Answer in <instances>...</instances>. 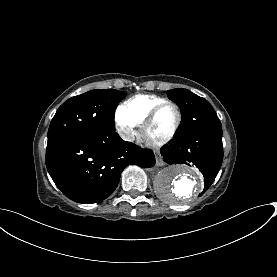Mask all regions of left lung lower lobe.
<instances>
[{
  "label": "left lung lower lobe",
  "mask_w": 277,
  "mask_h": 277,
  "mask_svg": "<svg viewBox=\"0 0 277 277\" xmlns=\"http://www.w3.org/2000/svg\"><path fill=\"white\" fill-rule=\"evenodd\" d=\"M161 154L168 164H194L204 176L205 192L222 164V127H209L179 135L177 140L161 149Z\"/></svg>",
  "instance_id": "0a47b994"
}]
</instances>
